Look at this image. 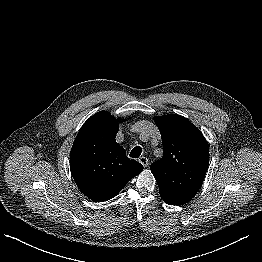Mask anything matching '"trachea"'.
Returning a JSON list of instances; mask_svg holds the SVG:
<instances>
[{
  "label": "trachea",
  "instance_id": "trachea-1",
  "mask_svg": "<svg viewBox=\"0 0 262 262\" xmlns=\"http://www.w3.org/2000/svg\"><path fill=\"white\" fill-rule=\"evenodd\" d=\"M141 153H142V148H141L140 146H136V147H134V148L131 150V152H130V157H132V158H138V157H140Z\"/></svg>",
  "mask_w": 262,
  "mask_h": 262
}]
</instances>
